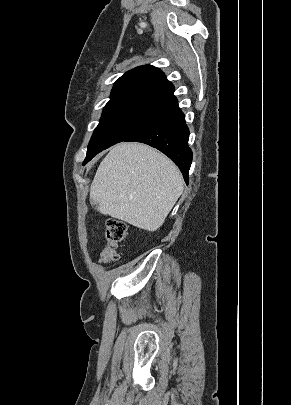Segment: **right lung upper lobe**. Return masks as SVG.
<instances>
[{
    "label": "right lung upper lobe",
    "mask_w": 291,
    "mask_h": 405,
    "mask_svg": "<svg viewBox=\"0 0 291 405\" xmlns=\"http://www.w3.org/2000/svg\"><path fill=\"white\" fill-rule=\"evenodd\" d=\"M173 93L174 86L164 73L154 66L145 65L126 72L115 82L107 104L147 100L173 106L177 102Z\"/></svg>",
    "instance_id": "right-lung-upper-lobe-1"
}]
</instances>
